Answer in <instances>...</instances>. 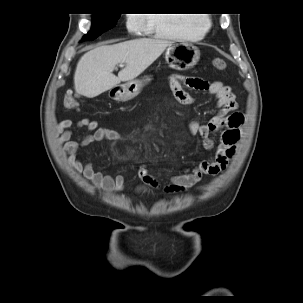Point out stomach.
I'll use <instances>...</instances> for the list:
<instances>
[{
	"mask_svg": "<svg viewBox=\"0 0 303 303\" xmlns=\"http://www.w3.org/2000/svg\"><path fill=\"white\" fill-rule=\"evenodd\" d=\"M200 59L199 49L188 42H173L165 52V60L173 69L184 71L188 70ZM151 80V76L145 79L129 80L111 90V96L118 101H127L136 97L142 90L144 84Z\"/></svg>",
	"mask_w": 303,
	"mask_h": 303,
	"instance_id": "1",
	"label": "stomach"
}]
</instances>
